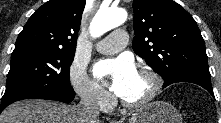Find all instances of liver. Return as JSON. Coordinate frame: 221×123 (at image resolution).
<instances>
[{
  "label": "liver",
  "mask_w": 221,
  "mask_h": 123,
  "mask_svg": "<svg viewBox=\"0 0 221 123\" xmlns=\"http://www.w3.org/2000/svg\"><path fill=\"white\" fill-rule=\"evenodd\" d=\"M0 123L80 122L74 106L44 100H23L8 106L0 115Z\"/></svg>",
  "instance_id": "liver-1"
}]
</instances>
